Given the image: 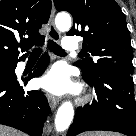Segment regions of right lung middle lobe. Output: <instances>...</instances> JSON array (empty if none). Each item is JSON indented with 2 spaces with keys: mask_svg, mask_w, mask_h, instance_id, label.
I'll use <instances>...</instances> for the list:
<instances>
[{
  "mask_svg": "<svg viewBox=\"0 0 136 136\" xmlns=\"http://www.w3.org/2000/svg\"><path fill=\"white\" fill-rule=\"evenodd\" d=\"M16 68V63L0 64V79H11L15 76L13 72Z\"/></svg>",
  "mask_w": 136,
  "mask_h": 136,
  "instance_id": "1",
  "label": "right lung middle lobe"
}]
</instances>
